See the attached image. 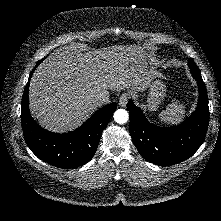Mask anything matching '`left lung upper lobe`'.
<instances>
[{
	"mask_svg": "<svg viewBox=\"0 0 221 221\" xmlns=\"http://www.w3.org/2000/svg\"><path fill=\"white\" fill-rule=\"evenodd\" d=\"M188 66L193 76H201L200 70L198 69L197 65L191 58L188 61Z\"/></svg>",
	"mask_w": 221,
	"mask_h": 221,
	"instance_id": "left-lung-upper-lobe-1",
	"label": "left lung upper lobe"
}]
</instances>
